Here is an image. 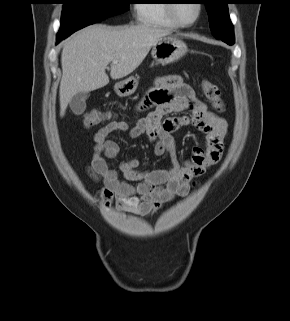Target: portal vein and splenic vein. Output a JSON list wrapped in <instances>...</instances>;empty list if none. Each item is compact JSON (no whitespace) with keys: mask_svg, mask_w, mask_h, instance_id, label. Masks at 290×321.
Here are the masks:
<instances>
[{"mask_svg":"<svg viewBox=\"0 0 290 321\" xmlns=\"http://www.w3.org/2000/svg\"><path fill=\"white\" fill-rule=\"evenodd\" d=\"M113 63H117V61H113Z\"/></svg>","mask_w":290,"mask_h":321,"instance_id":"1","label":"portal vein and splenic vein"}]
</instances>
